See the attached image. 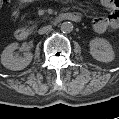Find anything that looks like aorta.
Instances as JSON below:
<instances>
[{
  "label": "aorta",
  "mask_w": 119,
  "mask_h": 119,
  "mask_svg": "<svg viewBox=\"0 0 119 119\" xmlns=\"http://www.w3.org/2000/svg\"><path fill=\"white\" fill-rule=\"evenodd\" d=\"M60 29L63 33H70L73 30V24L71 22H63L60 25Z\"/></svg>",
  "instance_id": "aorta-1"
}]
</instances>
